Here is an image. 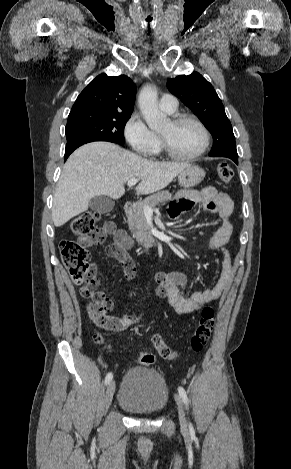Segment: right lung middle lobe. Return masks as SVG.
<instances>
[{
  "instance_id": "right-lung-middle-lobe-1",
  "label": "right lung middle lobe",
  "mask_w": 291,
  "mask_h": 469,
  "mask_svg": "<svg viewBox=\"0 0 291 469\" xmlns=\"http://www.w3.org/2000/svg\"><path fill=\"white\" fill-rule=\"evenodd\" d=\"M130 116L97 111L70 113L65 130L67 142L96 139L123 145L124 127Z\"/></svg>"
}]
</instances>
